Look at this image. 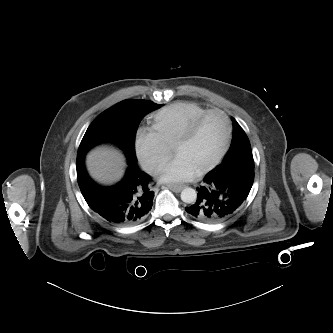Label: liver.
Instances as JSON below:
<instances>
[{
  "label": "liver",
  "instance_id": "6515ba94",
  "mask_svg": "<svg viewBox=\"0 0 333 333\" xmlns=\"http://www.w3.org/2000/svg\"><path fill=\"white\" fill-rule=\"evenodd\" d=\"M123 156L113 150H95L87 156V167L90 175L101 183H112L123 173Z\"/></svg>",
  "mask_w": 333,
  "mask_h": 333
}]
</instances>
